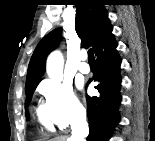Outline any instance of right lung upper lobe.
Listing matches in <instances>:
<instances>
[{
    "label": "right lung upper lobe",
    "mask_w": 155,
    "mask_h": 141,
    "mask_svg": "<svg viewBox=\"0 0 155 141\" xmlns=\"http://www.w3.org/2000/svg\"><path fill=\"white\" fill-rule=\"evenodd\" d=\"M75 7V30L82 39L81 44L95 49L99 42L112 32L107 10L101 0H76ZM61 31V28L54 29L37 45L28 66L26 87L41 81L46 57L59 44Z\"/></svg>",
    "instance_id": "cb5924a9"
}]
</instances>
